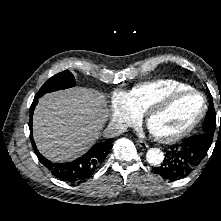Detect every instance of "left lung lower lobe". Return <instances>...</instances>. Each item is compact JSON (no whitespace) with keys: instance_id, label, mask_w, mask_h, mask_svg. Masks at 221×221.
I'll return each instance as SVG.
<instances>
[{"instance_id":"0a47b994","label":"left lung lower lobe","mask_w":221,"mask_h":221,"mask_svg":"<svg viewBox=\"0 0 221 221\" xmlns=\"http://www.w3.org/2000/svg\"><path fill=\"white\" fill-rule=\"evenodd\" d=\"M197 136H191L180 144L170 146L163 163L153 168L154 172L169 180L181 179L192 173L210 148L206 141L198 139Z\"/></svg>"}]
</instances>
